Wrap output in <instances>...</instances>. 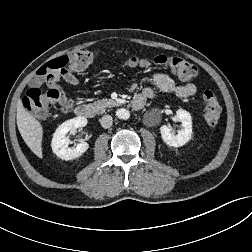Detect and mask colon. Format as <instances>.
<instances>
[{"instance_id": "colon-1", "label": "colon", "mask_w": 252, "mask_h": 252, "mask_svg": "<svg viewBox=\"0 0 252 252\" xmlns=\"http://www.w3.org/2000/svg\"><path fill=\"white\" fill-rule=\"evenodd\" d=\"M97 51L78 50L71 55L54 58L40 67L33 79L32 86L22 99L23 107L34 116L46 115L56 104H65L67 98L58 80L66 67L75 71L88 68L98 57ZM129 67L147 68L151 65L164 66L182 80H190L197 76V68L192 63L180 57L159 55L153 59L132 56L126 61ZM46 84L48 90L40 88ZM205 103L204 119L209 126H215L221 116V106L218 97L212 91L203 93Z\"/></svg>"}]
</instances>
